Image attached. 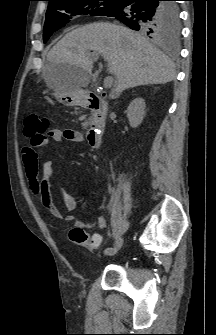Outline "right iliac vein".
Masks as SVG:
<instances>
[{"label":"right iliac vein","mask_w":216,"mask_h":335,"mask_svg":"<svg viewBox=\"0 0 216 335\" xmlns=\"http://www.w3.org/2000/svg\"><path fill=\"white\" fill-rule=\"evenodd\" d=\"M123 243H124V238L119 237L113 245L112 252L108 255L111 257L115 256L119 252V250L122 248Z\"/></svg>","instance_id":"right-iliac-vein-1"}]
</instances>
